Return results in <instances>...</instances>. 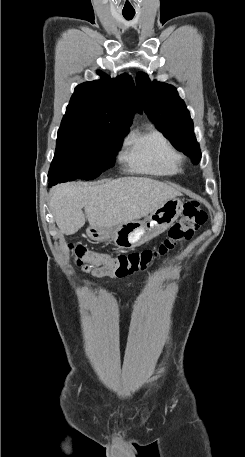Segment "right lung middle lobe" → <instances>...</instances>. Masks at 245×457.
Wrapping results in <instances>:
<instances>
[{"mask_svg": "<svg viewBox=\"0 0 245 457\" xmlns=\"http://www.w3.org/2000/svg\"><path fill=\"white\" fill-rule=\"evenodd\" d=\"M130 124L63 118L49 170V187L75 179L91 180L113 167Z\"/></svg>", "mask_w": 245, "mask_h": 457, "instance_id": "right-lung-middle-lobe-1", "label": "right lung middle lobe"}]
</instances>
